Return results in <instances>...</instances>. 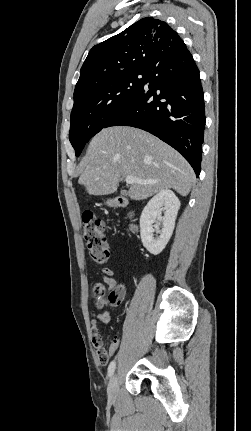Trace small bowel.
I'll return each mask as SVG.
<instances>
[{
	"label": "small bowel",
	"instance_id": "obj_1",
	"mask_svg": "<svg viewBox=\"0 0 251 431\" xmlns=\"http://www.w3.org/2000/svg\"><path fill=\"white\" fill-rule=\"evenodd\" d=\"M102 277L104 283L108 286L109 290H113L117 282L114 279V271L111 268H104L102 270ZM97 311L92 313L91 317V332L92 342L96 349L95 357L98 359L97 367L99 369H106L109 363V348L106 350L103 348L102 336L99 332L100 323H108L110 320V311L106 308L105 303L102 299L94 300Z\"/></svg>",
	"mask_w": 251,
	"mask_h": 431
}]
</instances>
